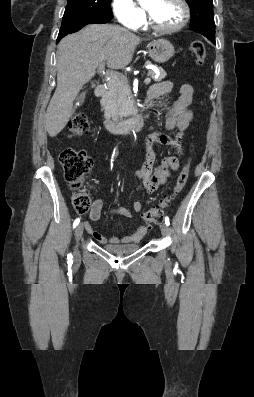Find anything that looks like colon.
Wrapping results in <instances>:
<instances>
[{
  "mask_svg": "<svg viewBox=\"0 0 254 397\" xmlns=\"http://www.w3.org/2000/svg\"><path fill=\"white\" fill-rule=\"evenodd\" d=\"M191 52L195 55L197 63L201 64L205 58V46L200 40L192 41L189 46ZM69 131L72 136H82L90 131V123L86 115L78 114L74 116L69 123ZM63 167L64 177L71 189L75 191L72 197L73 207L77 213H85L91 205L89 196L80 191L86 175L90 172L93 162L88 154L84 151L74 149H65L59 157ZM190 160L184 165L176 183L169 195L160 200L159 204L148 210L142 215L144 223L151 225L161 218L163 210L166 209L174 199H176L184 189L189 175Z\"/></svg>",
  "mask_w": 254,
  "mask_h": 397,
  "instance_id": "5ec220e1",
  "label": "colon"
}]
</instances>
